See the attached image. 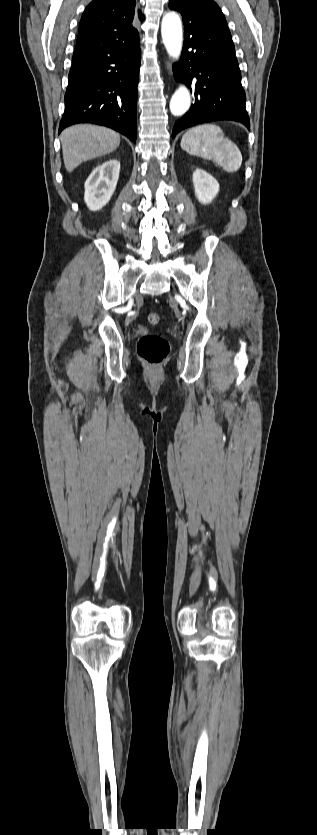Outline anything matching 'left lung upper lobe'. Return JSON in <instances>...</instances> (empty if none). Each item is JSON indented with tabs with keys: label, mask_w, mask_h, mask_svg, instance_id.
<instances>
[{
	"label": "left lung upper lobe",
	"mask_w": 317,
	"mask_h": 835,
	"mask_svg": "<svg viewBox=\"0 0 317 835\" xmlns=\"http://www.w3.org/2000/svg\"><path fill=\"white\" fill-rule=\"evenodd\" d=\"M169 8L182 14L185 30L197 23H211L228 29L222 11L213 0H169Z\"/></svg>",
	"instance_id": "left-lung-upper-lobe-1"
}]
</instances>
